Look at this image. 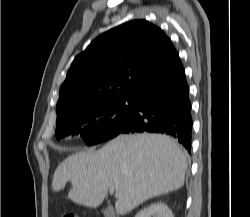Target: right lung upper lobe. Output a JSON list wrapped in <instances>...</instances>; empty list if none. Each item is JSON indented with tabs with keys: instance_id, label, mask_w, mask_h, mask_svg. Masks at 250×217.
<instances>
[{
	"instance_id": "1",
	"label": "right lung upper lobe",
	"mask_w": 250,
	"mask_h": 217,
	"mask_svg": "<svg viewBox=\"0 0 250 217\" xmlns=\"http://www.w3.org/2000/svg\"><path fill=\"white\" fill-rule=\"evenodd\" d=\"M179 59L171 40L146 20L105 32L72 62L60 88L57 122L107 101L132 98Z\"/></svg>"
}]
</instances>
